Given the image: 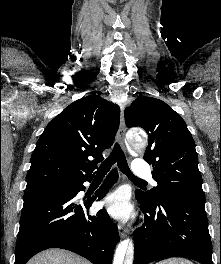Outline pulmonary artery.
Returning a JSON list of instances; mask_svg holds the SVG:
<instances>
[{
    "instance_id": "pulmonary-artery-1",
    "label": "pulmonary artery",
    "mask_w": 221,
    "mask_h": 264,
    "mask_svg": "<svg viewBox=\"0 0 221 264\" xmlns=\"http://www.w3.org/2000/svg\"><path fill=\"white\" fill-rule=\"evenodd\" d=\"M132 170L135 175L149 179L153 185H156V182L152 178L151 170L145 161L136 159L133 162Z\"/></svg>"
}]
</instances>
